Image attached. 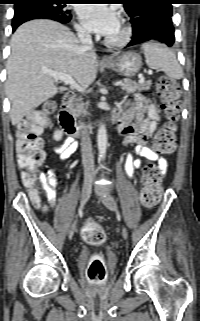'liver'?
Segmentation results:
<instances>
[{"instance_id": "obj_1", "label": "liver", "mask_w": 200, "mask_h": 321, "mask_svg": "<svg viewBox=\"0 0 200 321\" xmlns=\"http://www.w3.org/2000/svg\"><path fill=\"white\" fill-rule=\"evenodd\" d=\"M50 70L73 77L83 89L94 82L98 70L93 50L84 49L76 36L62 24L46 19L22 24L11 38L7 61L6 93L11 103L12 125L58 92Z\"/></svg>"}]
</instances>
